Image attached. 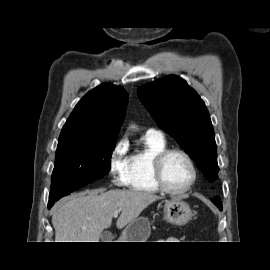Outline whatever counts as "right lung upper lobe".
<instances>
[{
    "label": "right lung upper lobe",
    "instance_id": "cb5924a9",
    "mask_svg": "<svg viewBox=\"0 0 270 270\" xmlns=\"http://www.w3.org/2000/svg\"><path fill=\"white\" fill-rule=\"evenodd\" d=\"M127 102L128 94L120 86L107 83L94 88L75 106L59 139L115 141Z\"/></svg>",
    "mask_w": 270,
    "mask_h": 270
}]
</instances>
